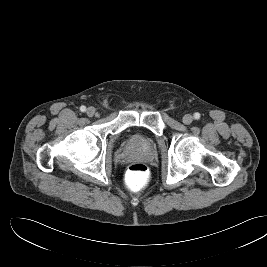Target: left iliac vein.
I'll list each match as a JSON object with an SVG mask.
<instances>
[{
    "instance_id": "obj_1",
    "label": "left iliac vein",
    "mask_w": 267,
    "mask_h": 267,
    "mask_svg": "<svg viewBox=\"0 0 267 267\" xmlns=\"http://www.w3.org/2000/svg\"><path fill=\"white\" fill-rule=\"evenodd\" d=\"M182 120H183V123L184 124L189 125V124L192 123L193 117L190 114H186V115L183 116V119Z\"/></svg>"
}]
</instances>
